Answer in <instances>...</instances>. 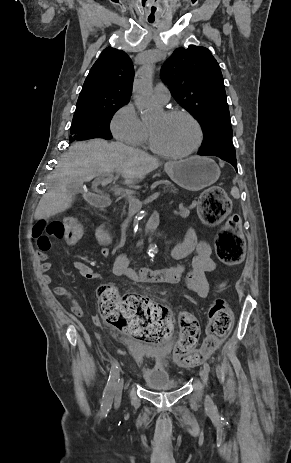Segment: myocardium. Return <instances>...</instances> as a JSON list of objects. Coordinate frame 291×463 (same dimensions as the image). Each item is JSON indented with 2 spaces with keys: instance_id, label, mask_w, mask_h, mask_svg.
I'll use <instances>...</instances> for the list:
<instances>
[{
  "instance_id": "f54148a6",
  "label": "myocardium",
  "mask_w": 291,
  "mask_h": 463,
  "mask_svg": "<svg viewBox=\"0 0 291 463\" xmlns=\"http://www.w3.org/2000/svg\"><path fill=\"white\" fill-rule=\"evenodd\" d=\"M164 114L167 117L183 116L187 118L188 120H190L196 129V133H197L196 141L192 147H190L189 149L183 152H177V153L166 152L157 147L154 141L153 132L151 128L149 127V145L152 151L168 159L185 158L195 153L201 147L203 138H204L203 128L199 120L191 112H189L186 109H182V108L168 109L164 112Z\"/></svg>"
}]
</instances>
